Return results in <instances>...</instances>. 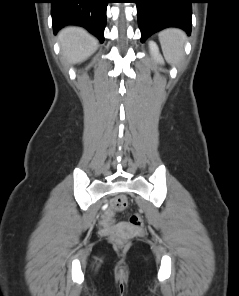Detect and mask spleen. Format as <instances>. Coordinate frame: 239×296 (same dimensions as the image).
Listing matches in <instances>:
<instances>
[{
  "label": "spleen",
  "mask_w": 239,
  "mask_h": 296,
  "mask_svg": "<svg viewBox=\"0 0 239 296\" xmlns=\"http://www.w3.org/2000/svg\"><path fill=\"white\" fill-rule=\"evenodd\" d=\"M159 40L168 63L178 64L184 54V32L179 29H166L159 34Z\"/></svg>",
  "instance_id": "1"
}]
</instances>
